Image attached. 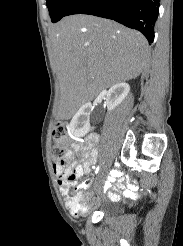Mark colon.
Here are the masks:
<instances>
[{"label":"colon","instance_id":"1","mask_svg":"<svg viewBox=\"0 0 183 246\" xmlns=\"http://www.w3.org/2000/svg\"><path fill=\"white\" fill-rule=\"evenodd\" d=\"M65 126L62 123H56L52 130V157L55 162L65 165L67 163L68 146L64 141ZM73 183L75 178H68ZM72 208L79 212H86L89 204L82 196H76L72 201Z\"/></svg>","mask_w":183,"mask_h":246}]
</instances>
